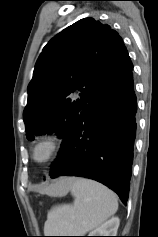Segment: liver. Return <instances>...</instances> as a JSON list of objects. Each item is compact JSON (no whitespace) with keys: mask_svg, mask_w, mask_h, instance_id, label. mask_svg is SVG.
<instances>
[{"mask_svg":"<svg viewBox=\"0 0 158 237\" xmlns=\"http://www.w3.org/2000/svg\"><path fill=\"white\" fill-rule=\"evenodd\" d=\"M73 181H74V178L63 179V180H60L59 182H57L56 184L51 185L46 188H42L39 191L43 194L54 195L58 188H60L61 186L65 185V184H72Z\"/></svg>","mask_w":158,"mask_h":237,"instance_id":"1","label":"liver"}]
</instances>
